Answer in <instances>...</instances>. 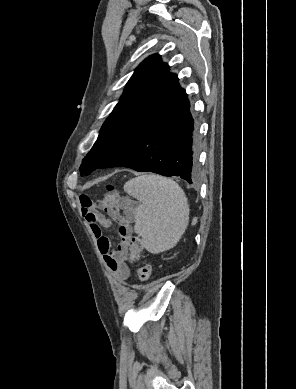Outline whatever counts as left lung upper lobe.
<instances>
[{"label": "left lung upper lobe", "instance_id": "1", "mask_svg": "<svg viewBox=\"0 0 296 389\" xmlns=\"http://www.w3.org/2000/svg\"><path fill=\"white\" fill-rule=\"evenodd\" d=\"M173 75L174 74L169 73V66L161 62L159 55L155 54L146 58L136 68L134 74L128 81L123 96L104 122L96 143L107 128L117 122L128 111L139 105L165 80ZM94 146L82 161L80 166L81 175H88L93 170L99 168V163L93 153Z\"/></svg>", "mask_w": 296, "mask_h": 389}]
</instances>
